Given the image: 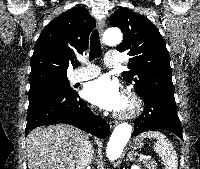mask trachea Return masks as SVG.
Wrapping results in <instances>:
<instances>
[{
	"mask_svg": "<svg viewBox=\"0 0 200 169\" xmlns=\"http://www.w3.org/2000/svg\"><path fill=\"white\" fill-rule=\"evenodd\" d=\"M102 54L100 38L98 30H94L90 37V53H89V60L93 61L95 58L100 57ZM80 66V63L77 62L75 67Z\"/></svg>",
	"mask_w": 200,
	"mask_h": 169,
	"instance_id": "obj_1",
	"label": "trachea"
}]
</instances>
